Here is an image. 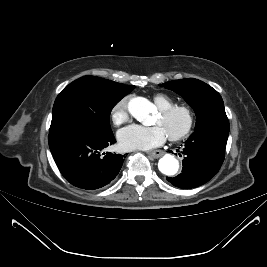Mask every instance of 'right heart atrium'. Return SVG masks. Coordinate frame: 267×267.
Listing matches in <instances>:
<instances>
[{"label": "right heart atrium", "mask_w": 267, "mask_h": 267, "mask_svg": "<svg viewBox=\"0 0 267 267\" xmlns=\"http://www.w3.org/2000/svg\"><path fill=\"white\" fill-rule=\"evenodd\" d=\"M111 120L116 125H122L129 120L128 99L119 100L111 110Z\"/></svg>", "instance_id": "right-heart-atrium-1"}]
</instances>
